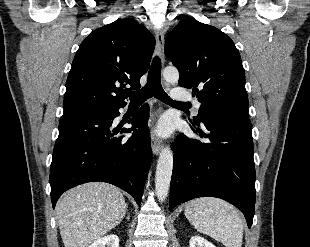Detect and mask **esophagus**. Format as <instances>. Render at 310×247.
Instances as JSON below:
<instances>
[{
    "label": "esophagus",
    "mask_w": 310,
    "mask_h": 247,
    "mask_svg": "<svg viewBox=\"0 0 310 247\" xmlns=\"http://www.w3.org/2000/svg\"><path fill=\"white\" fill-rule=\"evenodd\" d=\"M157 53L160 59L164 60V33L161 29L155 30ZM151 146L153 154L158 155L162 148V141L155 134L151 136Z\"/></svg>",
    "instance_id": "34e87169"
}]
</instances>
